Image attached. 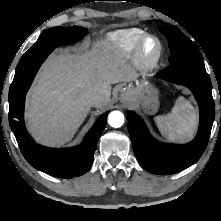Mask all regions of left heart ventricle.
Returning a JSON list of instances; mask_svg holds the SVG:
<instances>
[{
    "instance_id": "obj_1",
    "label": "left heart ventricle",
    "mask_w": 221,
    "mask_h": 221,
    "mask_svg": "<svg viewBox=\"0 0 221 221\" xmlns=\"http://www.w3.org/2000/svg\"><path fill=\"white\" fill-rule=\"evenodd\" d=\"M153 48H154L153 42H149L148 45H147V50H148L149 52H151V51L153 50Z\"/></svg>"
}]
</instances>
